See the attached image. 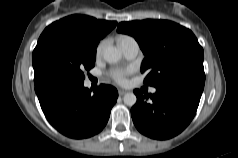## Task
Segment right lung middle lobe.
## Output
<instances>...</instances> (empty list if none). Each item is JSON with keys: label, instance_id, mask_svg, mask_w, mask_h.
<instances>
[{"label": "right lung middle lobe", "instance_id": "right-lung-middle-lobe-1", "mask_svg": "<svg viewBox=\"0 0 238 158\" xmlns=\"http://www.w3.org/2000/svg\"><path fill=\"white\" fill-rule=\"evenodd\" d=\"M98 41L79 30L49 25L33 51L34 75L53 71L84 82L96 58Z\"/></svg>", "mask_w": 238, "mask_h": 158}]
</instances>
